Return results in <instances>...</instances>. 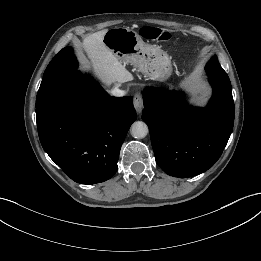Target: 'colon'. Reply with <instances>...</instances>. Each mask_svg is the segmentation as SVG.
<instances>
[{
    "instance_id": "1",
    "label": "colon",
    "mask_w": 261,
    "mask_h": 261,
    "mask_svg": "<svg viewBox=\"0 0 261 261\" xmlns=\"http://www.w3.org/2000/svg\"><path fill=\"white\" fill-rule=\"evenodd\" d=\"M140 33L144 38L148 40L159 42L168 41L171 38V34L169 32L156 27H143L141 28Z\"/></svg>"
}]
</instances>
